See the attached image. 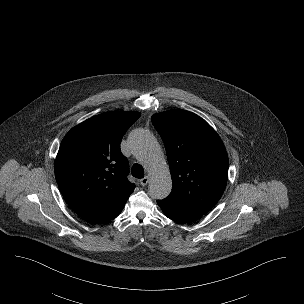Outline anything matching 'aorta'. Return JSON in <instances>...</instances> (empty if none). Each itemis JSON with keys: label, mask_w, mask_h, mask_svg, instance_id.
Masks as SVG:
<instances>
[{"label": "aorta", "mask_w": 304, "mask_h": 304, "mask_svg": "<svg viewBox=\"0 0 304 304\" xmlns=\"http://www.w3.org/2000/svg\"><path fill=\"white\" fill-rule=\"evenodd\" d=\"M130 144L133 154L150 175L149 195L154 199L166 198L172 189V179L164 155L154 138L146 130H136Z\"/></svg>", "instance_id": "aorta-1"}]
</instances>
